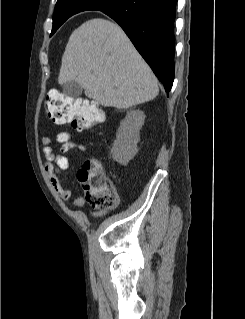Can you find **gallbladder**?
Segmentation results:
<instances>
[{
	"mask_svg": "<svg viewBox=\"0 0 245 319\" xmlns=\"http://www.w3.org/2000/svg\"><path fill=\"white\" fill-rule=\"evenodd\" d=\"M63 92L70 97L77 98L81 96L83 88L76 81H69L62 85Z\"/></svg>",
	"mask_w": 245,
	"mask_h": 319,
	"instance_id": "1",
	"label": "gallbladder"
}]
</instances>
